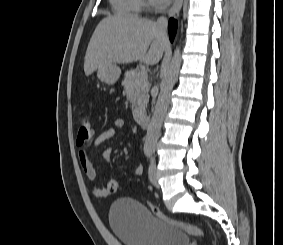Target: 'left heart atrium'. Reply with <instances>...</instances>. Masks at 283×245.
<instances>
[{
	"label": "left heart atrium",
	"mask_w": 283,
	"mask_h": 245,
	"mask_svg": "<svg viewBox=\"0 0 283 245\" xmlns=\"http://www.w3.org/2000/svg\"><path fill=\"white\" fill-rule=\"evenodd\" d=\"M155 3L157 4H166L168 3L170 0H153Z\"/></svg>",
	"instance_id": "1"
}]
</instances>
